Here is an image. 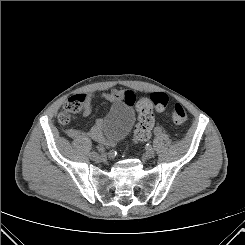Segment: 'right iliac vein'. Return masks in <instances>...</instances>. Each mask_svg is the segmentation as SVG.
Here are the masks:
<instances>
[{"label":"right iliac vein","mask_w":245,"mask_h":245,"mask_svg":"<svg viewBox=\"0 0 245 245\" xmlns=\"http://www.w3.org/2000/svg\"><path fill=\"white\" fill-rule=\"evenodd\" d=\"M90 157H91V159L96 160V159L99 158V155H98V153H96V152H91V153H90Z\"/></svg>","instance_id":"right-iliac-vein-1"}]
</instances>
